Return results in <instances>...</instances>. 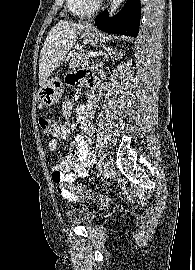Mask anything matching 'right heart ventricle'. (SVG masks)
<instances>
[{
	"label": "right heart ventricle",
	"instance_id": "obj_1",
	"mask_svg": "<svg viewBox=\"0 0 195 270\" xmlns=\"http://www.w3.org/2000/svg\"><path fill=\"white\" fill-rule=\"evenodd\" d=\"M67 7L72 15L77 17L89 16L96 11L93 0H66Z\"/></svg>",
	"mask_w": 195,
	"mask_h": 270
}]
</instances>
